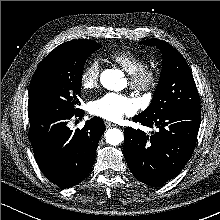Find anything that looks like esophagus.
Returning a JSON list of instances; mask_svg holds the SVG:
<instances>
[{
    "label": "esophagus",
    "instance_id": "obj_1",
    "mask_svg": "<svg viewBox=\"0 0 220 220\" xmlns=\"http://www.w3.org/2000/svg\"><path fill=\"white\" fill-rule=\"evenodd\" d=\"M105 125H106V127H107V128H110V127L115 126V124H114V123L109 122V121H105Z\"/></svg>",
    "mask_w": 220,
    "mask_h": 220
}]
</instances>
